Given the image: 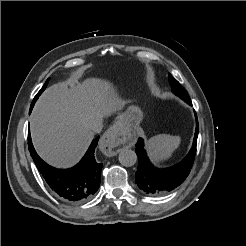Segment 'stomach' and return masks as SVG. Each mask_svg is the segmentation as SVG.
<instances>
[{"instance_id": "1", "label": "stomach", "mask_w": 246, "mask_h": 246, "mask_svg": "<svg viewBox=\"0 0 246 246\" xmlns=\"http://www.w3.org/2000/svg\"><path fill=\"white\" fill-rule=\"evenodd\" d=\"M142 119H143V113L141 109L136 105H131L119 117V123L127 131H133L139 126Z\"/></svg>"}]
</instances>
